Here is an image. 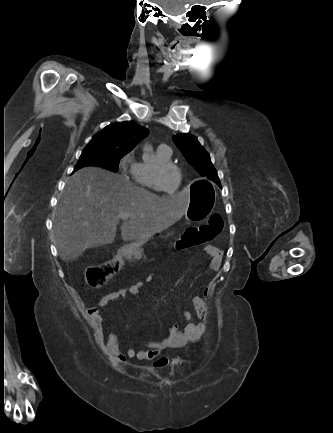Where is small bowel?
Returning <instances> with one entry per match:
<instances>
[{
  "instance_id": "1",
  "label": "small bowel",
  "mask_w": 333,
  "mask_h": 433,
  "mask_svg": "<svg viewBox=\"0 0 333 433\" xmlns=\"http://www.w3.org/2000/svg\"><path fill=\"white\" fill-rule=\"evenodd\" d=\"M204 251L212 257L210 263L211 269L217 271L221 263L222 251L213 245L205 246ZM152 280L153 275L150 274L145 277L143 282H137L129 287L107 293L99 299L97 306L87 311L97 343L115 364H124L127 359L154 361L155 363L160 359L159 353L161 351L168 348H181L189 342H197L206 331L207 326L204 321L209 316L208 298L211 295L209 288L204 290V297L192 296L189 299L191 309L182 312L185 321L183 327L180 328L176 325L169 326L164 337L161 339L149 338L143 340L142 345L144 348L140 350H135L130 347L123 352L120 347V340L113 332H110L107 337L104 338L102 327L104 318L101 310L111 301L124 299L128 295H137L144 283L151 282Z\"/></svg>"
}]
</instances>
